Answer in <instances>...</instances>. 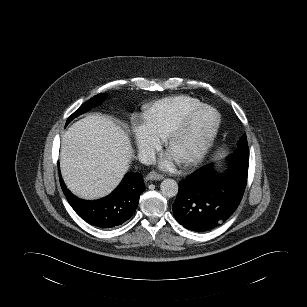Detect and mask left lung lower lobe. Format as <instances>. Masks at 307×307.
<instances>
[{"mask_svg":"<svg viewBox=\"0 0 307 307\" xmlns=\"http://www.w3.org/2000/svg\"><path fill=\"white\" fill-rule=\"evenodd\" d=\"M229 161V169L223 174L215 173L212 165H207L179 183L173 214L186 229L212 230L237 209L247 183L249 160L230 158Z\"/></svg>","mask_w":307,"mask_h":307,"instance_id":"left-lung-lower-lobe-1","label":"left lung lower lobe"}]
</instances>
